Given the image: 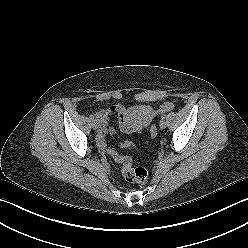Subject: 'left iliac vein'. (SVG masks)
Here are the masks:
<instances>
[{
	"instance_id": "obj_1",
	"label": "left iliac vein",
	"mask_w": 248,
	"mask_h": 248,
	"mask_svg": "<svg viewBox=\"0 0 248 248\" xmlns=\"http://www.w3.org/2000/svg\"><path fill=\"white\" fill-rule=\"evenodd\" d=\"M166 126H167V121H166L165 119H162V120L159 122V127H160L161 129H164V128H166Z\"/></svg>"
}]
</instances>
